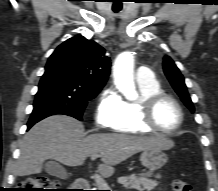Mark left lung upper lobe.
Masks as SVG:
<instances>
[{
	"label": "left lung upper lobe",
	"instance_id": "left-lung-upper-lobe-1",
	"mask_svg": "<svg viewBox=\"0 0 218 191\" xmlns=\"http://www.w3.org/2000/svg\"><path fill=\"white\" fill-rule=\"evenodd\" d=\"M163 68L165 75L177 94L181 97L185 105L194 112V106L184 83V78L170 57H164Z\"/></svg>",
	"mask_w": 218,
	"mask_h": 191
}]
</instances>
